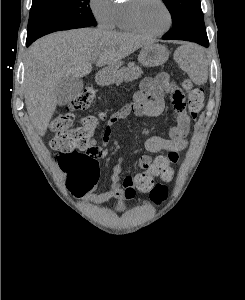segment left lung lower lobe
Returning <instances> with one entry per match:
<instances>
[{
  "instance_id": "0a47b994",
  "label": "left lung lower lobe",
  "mask_w": 245,
  "mask_h": 300,
  "mask_svg": "<svg viewBox=\"0 0 245 300\" xmlns=\"http://www.w3.org/2000/svg\"><path fill=\"white\" fill-rule=\"evenodd\" d=\"M163 39H180V40H187V41H192V42H196L198 44H201L203 46H208V38H207V34L204 31H198L197 33L194 34H190V35H186V36H181V37H162Z\"/></svg>"
}]
</instances>
